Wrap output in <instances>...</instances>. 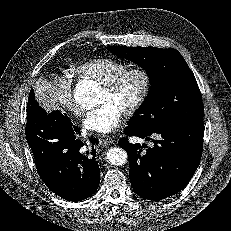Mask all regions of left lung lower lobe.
I'll return each mask as SVG.
<instances>
[{"mask_svg":"<svg viewBox=\"0 0 231 231\" xmlns=\"http://www.w3.org/2000/svg\"><path fill=\"white\" fill-rule=\"evenodd\" d=\"M203 131V119L169 128L134 130L126 127L125 135L154 143L153 148L142 152L139 144H131L126 138L119 141L129 157V177L134 191L145 199L158 201L182 190L200 163Z\"/></svg>","mask_w":231,"mask_h":231,"instance_id":"left-lung-lower-lobe-1","label":"left lung lower lobe"}]
</instances>
